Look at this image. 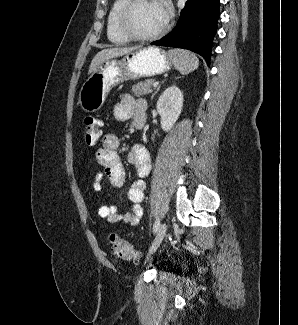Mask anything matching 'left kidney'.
<instances>
[{
  "mask_svg": "<svg viewBox=\"0 0 298 325\" xmlns=\"http://www.w3.org/2000/svg\"><path fill=\"white\" fill-rule=\"evenodd\" d=\"M184 104V94L179 86L172 84L160 94L156 108L161 116V128L168 132L178 120Z\"/></svg>",
  "mask_w": 298,
  "mask_h": 325,
  "instance_id": "left-kidney-1",
  "label": "left kidney"
}]
</instances>
